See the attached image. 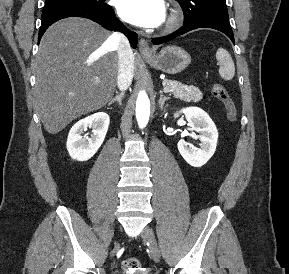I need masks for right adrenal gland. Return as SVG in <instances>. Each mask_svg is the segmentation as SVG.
<instances>
[{
    "label": "right adrenal gland",
    "mask_w": 289,
    "mask_h": 274,
    "mask_svg": "<svg viewBox=\"0 0 289 274\" xmlns=\"http://www.w3.org/2000/svg\"><path fill=\"white\" fill-rule=\"evenodd\" d=\"M124 97V93L121 92L120 94H117L109 103L108 106L112 105L115 102H118V104L121 106L122 105V99Z\"/></svg>",
    "instance_id": "1"
}]
</instances>
